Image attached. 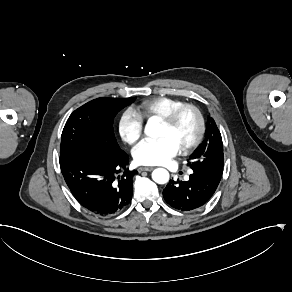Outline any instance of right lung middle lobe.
Instances as JSON below:
<instances>
[{
  "mask_svg": "<svg viewBox=\"0 0 292 292\" xmlns=\"http://www.w3.org/2000/svg\"><path fill=\"white\" fill-rule=\"evenodd\" d=\"M135 99L97 98L76 109L64 126L60 151L84 149L105 155L123 152L114 135L113 121Z\"/></svg>",
  "mask_w": 292,
  "mask_h": 292,
  "instance_id": "obj_1",
  "label": "right lung middle lobe"
}]
</instances>
